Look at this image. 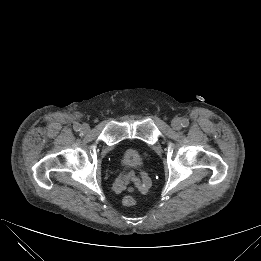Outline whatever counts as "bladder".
Listing matches in <instances>:
<instances>
[{
  "mask_svg": "<svg viewBox=\"0 0 261 261\" xmlns=\"http://www.w3.org/2000/svg\"><path fill=\"white\" fill-rule=\"evenodd\" d=\"M140 159V154L137 151H129L126 154V164L130 167H134Z\"/></svg>",
  "mask_w": 261,
  "mask_h": 261,
  "instance_id": "bladder-1",
  "label": "bladder"
}]
</instances>
